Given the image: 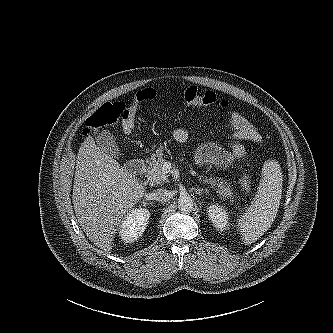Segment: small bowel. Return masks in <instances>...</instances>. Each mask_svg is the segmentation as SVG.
I'll return each instance as SVG.
<instances>
[{
	"label": "small bowel",
	"mask_w": 333,
	"mask_h": 333,
	"mask_svg": "<svg viewBox=\"0 0 333 333\" xmlns=\"http://www.w3.org/2000/svg\"><path fill=\"white\" fill-rule=\"evenodd\" d=\"M225 127L231 132V149L227 150L214 142H201L195 154L198 164L228 168L246 156V150L241 144L242 140L257 144L263 142L262 135L257 128L239 111L231 110L228 113ZM173 137L179 143H187L190 140V134L185 128L175 129Z\"/></svg>",
	"instance_id": "c3829d8e"
}]
</instances>
